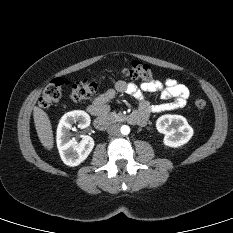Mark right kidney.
<instances>
[{
  "label": "right kidney",
  "mask_w": 233,
  "mask_h": 233,
  "mask_svg": "<svg viewBox=\"0 0 233 233\" xmlns=\"http://www.w3.org/2000/svg\"><path fill=\"white\" fill-rule=\"evenodd\" d=\"M90 121V116L81 110L67 112L62 116L57 127L56 142L61 159L66 165L78 166L94 148L92 137L84 135L78 143L70 135V129L74 123H78V128L84 129L90 125Z\"/></svg>",
  "instance_id": "1"
}]
</instances>
